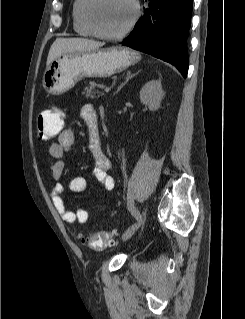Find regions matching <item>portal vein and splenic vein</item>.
Listing matches in <instances>:
<instances>
[{
	"instance_id": "1",
	"label": "portal vein and splenic vein",
	"mask_w": 245,
	"mask_h": 319,
	"mask_svg": "<svg viewBox=\"0 0 245 319\" xmlns=\"http://www.w3.org/2000/svg\"><path fill=\"white\" fill-rule=\"evenodd\" d=\"M111 91V88L110 87H105L104 88V93H110Z\"/></svg>"
}]
</instances>
